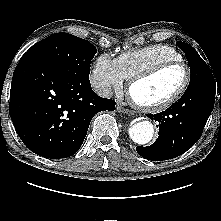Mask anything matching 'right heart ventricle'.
<instances>
[{
    "label": "right heart ventricle",
    "instance_id": "e07e8e85",
    "mask_svg": "<svg viewBox=\"0 0 221 221\" xmlns=\"http://www.w3.org/2000/svg\"><path fill=\"white\" fill-rule=\"evenodd\" d=\"M168 60H182L181 54L165 44H153L143 48L123 52L117 59L124 79L130 80L148 68Z\"/></svg>",
    "mask_w": 221,
    "mask_h": 221
}]
</instances>
